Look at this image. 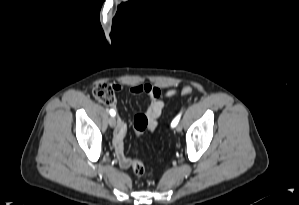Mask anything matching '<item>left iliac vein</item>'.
Instances as JSON below:
<instances>
[{"instance_id":"4c4485c4","label":"left iliac vein","mask_w":299,"mask_h":205,"mask_svg":"<svg viewBox=\"0 0 299 205\" xmlns=\"http://www.w3.org/2000/svg\"><path fill=\"white\" fill-rule=\"evenodd\" d=\"M182 130V125L181 124H178L177 126H176V131L177 132H180Z\"/></svg>"}]
</instances>
